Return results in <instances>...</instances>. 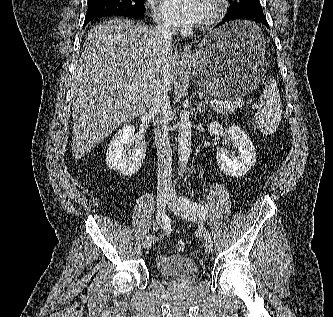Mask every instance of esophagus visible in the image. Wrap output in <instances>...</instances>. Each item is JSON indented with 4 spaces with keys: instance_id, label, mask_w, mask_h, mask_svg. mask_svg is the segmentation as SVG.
<instances>
[{
    "instance_id": "esophagus-1",
    "label": "esophagus",
    "mask_w": 333,
    "mask_h": 317,
    "mask_svg": "<svg viewBox=\"0 0 333 317\" xmlns=\"http://www.w3.org/2000/svg\"><path fill=\"white\" fill-rule=\"evenodd\" d=\"M178 57L181 59H188L189 58V51L187 49L180 50L178 53Z\"/></svg>"
}]
</instances>
